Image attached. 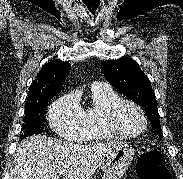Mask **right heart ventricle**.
Returning <instances> with one entry per match:
<instances>
[{
    "mask_svg": "<svg viewBox=\"0 0 183 179\" xmlns=\"http://www.w3.org/2000/svg\"><path fill=\"white\" fill-rule=\"evenodd\" d=\"M121 99L111 88H92V106L84 112L86 131L83 141H97L113 138L103 127L102 116L104 111L115 101Z\"/></svg>",
    "mask_w": 183,
    "mask_h": 179,
    "instance_id": "right-heart-ventricle-1",
    "label": "right heart ventricle"
}]
</instances>
